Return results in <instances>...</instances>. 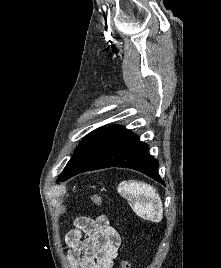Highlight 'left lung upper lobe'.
<instances>
[{"label":"left lung upper lobe","instance_id":"obj_1","mask_svg":"<svg viewBox=\"0 0 221 268\" xmlns=\"http://www.w3.org/2000/svg\"><path fill=\"white\" fill-rule=\"evenodd\" d=\"M104 130V128H99L95 131H93L92 133H90L89 135H87L79 144L78 147H76L75 152L73 157L71 158V160L67 163L66 167L64 168L67 169L72 162L80 155V153L86 148V146L96 137L98 136L102 131ZM63 170V171H64Z\"/></svg>","mask_w":221,"mask_h":268}]
</instances>
